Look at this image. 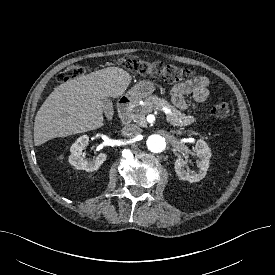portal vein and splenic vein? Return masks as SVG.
Wrapping results in <instances>:
<instances>
[{
    "label": "portal vein and splenic vein",
    "mask_w": 275,
    "mask_h": 275,
    "mask_svg": "<svg viewBox=\"0 0 275 275\" xmlns=\"http://www.w3.org/2000/svg\"><path fill=\"white\" fill-rule=\"evenodd\" d=\"M164 112H165V113H170V110L167 109V108H164Z\"/></svg>",
    "instance_id": "18ae733b"
}]
</instances>
